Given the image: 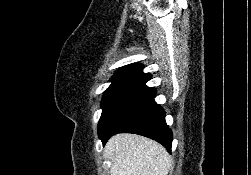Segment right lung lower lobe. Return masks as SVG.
Segmentation results:
<instances>
[{"label":"right lung lower lobe","mask_w":251,"mask_h":175,"mask_svg":"<svg viewBox=\"0 0 251 175\" xmlns=\"http://www.w3.org/2000/svg\"><path fill=\"white\" fill-rule=\"evenodd\" d=\"M138 81L109 107L98 125L103 145L116 133H136L154 139L171 152L172 132L166 124L165 112L154 101L156 90Z\"/></svg>","instance_id":"right-lung-lower-lobe-1"}]
</instances>
